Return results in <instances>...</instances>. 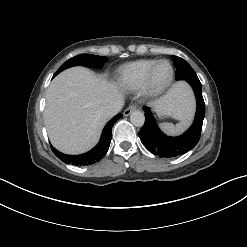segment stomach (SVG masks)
<instances>
[{"instance_id":"obj_1","label":"stomach","mask_w":247,"mask_h":247,"mask_svg":"<svg viewBox=\"0 0 247 247\" xmlns=\"http://www.w3.org/2000/svg\"><path fill=\"white\" fill-rule=\"evenodd\" d=\"M157 114L161 119L171 117L167 110H157Z\"/></svg>"}]
</instances>
